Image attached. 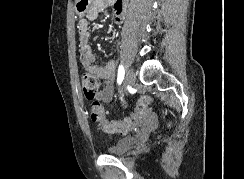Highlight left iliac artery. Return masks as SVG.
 I'll return each mask as SVG.
<instances>
[{"label":"left iliac artery","instance_id":"obj_1","mask_svg":"<svg viewBox=\"0 0 244 179\" xmlns=\"http://www.w3.org/2000/svg\"><path fill=\"white\" fill-rule=\"evenodd\" d=\"M124 74H125V71H124L123 65H119V68H118V77H117L118 84H121V82L123 81Z\"/></svg>","mask_w":244,"mask_h":179}]
</instances>
